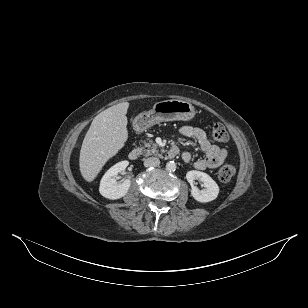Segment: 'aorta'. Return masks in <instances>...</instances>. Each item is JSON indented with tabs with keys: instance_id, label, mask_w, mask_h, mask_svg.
I'll return each instance as SVG.
<instances>
[{
	"instance_id": "aorta-1",
	"label": "aorta",
	"mask_w": 308,
	"mask_h": 308,
	"mask_svg": "<svg viewBox=\"0 0 308 308\" xmlns=\"http://www.w3.org/2000/svg\"><path fill=\"white\" fill-rule=\"evenodd\" d=\"M166 169L168 171H175L176 170V163L174 161H169L167 164H166Z\"/></svg>"
}]
</instances>
